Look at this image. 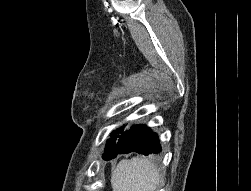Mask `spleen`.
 <instances>
[{
    "mask_svg": "<svg viewBox=\"0 0 251 191\" xmlns=\"http://www.w3.org/2000/svg\"><path fill=\"white\" fill-rule=\"evenodd\" d=\"M160 173L146 157L121 159L111 175L113 191H155Z\"/></svg>",
    "mask_w": 251,
    "mask_h": 191,
    "instance_id": "1",
    "label": "spleen"
}]
</instances>
